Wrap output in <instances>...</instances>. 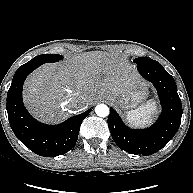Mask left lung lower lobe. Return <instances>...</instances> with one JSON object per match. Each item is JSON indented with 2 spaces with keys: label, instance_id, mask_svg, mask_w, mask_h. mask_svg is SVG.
<instances>
[{
  "label": "left lung lower lobe",
  "instance_id": "obj_1",
  "mask_svg": "<svg viewBox=\"0 0 193 193\" xmlns=\"http://www.w3.org/2000/svg\"><path fill=\"white\" fill-rule=\"evenodd\" d=\"M139 73L158 91L162 113L149 128H128L118 113L110 108L108 126L119 148L131 154L151 155L162 149L176 134L182 116V104L173 77L157 61L137 65Z\"/></svg>",
  "mask_w": 193,
  "mask_h": 193
}]
</instances>
